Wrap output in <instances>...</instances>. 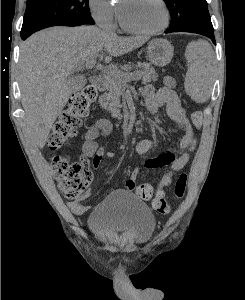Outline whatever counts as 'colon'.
Instances as JSON below:
<instances>
[{"label": "colon", "mask_w": 245, "mask_h": 300, "mask_svg": "<svg viewBox=\"0 0 245 300\" xmlns=\"http://www.w3.org/2000/svg\"><path fill=\"white\" fill-rule=\"evenodd\" d=\"M96 95L97 91L89 85L70 98L66 108L60 113L49 137V147L52 150L60 149L76 136L78 129L82 125V118L87 115ZM202 120L203 115L201 111L196 110L192 113V122L196 127L201 126ZM52 169L60 191L70 199L78 198L91 180L85 161H73L65 155L53 156ZM186 187L187 175L180 174L174 187L175 198H182ZM136 193L141 199L149 200L153 196V188L150 184L144 183L137 187ZM152 206L157 213L162 215L170 211V206L163 197L162 191L157 193Z\"/></svg>", "instance_id": "obj_1"}]
</instances>
